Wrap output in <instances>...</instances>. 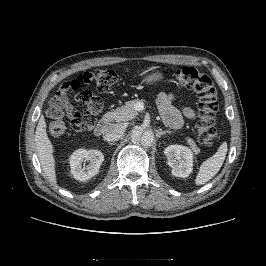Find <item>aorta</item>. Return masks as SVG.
<instances>
[{
	"label": "aorta",
	"mask_w": 266,
	"mask_h": 266,
	"mask_svg": "<svg viewBox=\"0 0 266 266\" xmlns=\"http://www.w3.org/2000/svg\"><path fill=\"white\" fill-rule=\"evenodd\" d=\"M154 133L151 130H143L141 127H135L131 132V141L135 144H141L149 147L154 142Z\"/></svg>",
	"instance_id": "1"
}]
</instances>
